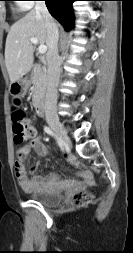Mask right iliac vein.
<instances>
[{
  "mask_svg": "<svg viewBox=\"0 0 133 253\" xmlns=\"http://www.w3.org/2000/svg\"><path fill=\"white\" fill-rule=\"evenodd\" d=\"M48 123L51 126V128L60 136L62 141L68 145L70 143V139H69L64 127L59 122V120L51 119L48 121Z\"/></svg>",
  "mask_w": 133,
  "mask_h": 253,
  "instance_id": "1",
  "label": "right iliac vein"
}]
</instances>
